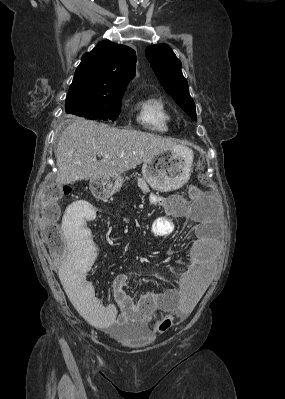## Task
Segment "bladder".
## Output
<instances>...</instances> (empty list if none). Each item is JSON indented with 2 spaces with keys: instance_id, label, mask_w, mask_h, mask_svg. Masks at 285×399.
I'll return each instance as SVG.
<instances>
[{
  "instance_id": "bladder-1",
  "label": "bladder",
  "mask_w": 285,
  "mask_h": 399,
  "mask_svg": "<svg viewBox=\"0 0 285 399\" xmlns=\"http://www.w3.org/2000/svg\"><path fill=\"white\" fill-rule=\"evenodd\" d=\"M117 339L132 348L141 349L147 346L148 335L143 332H137L128 338L117 336Z\"/></svg>"
}]
</instances>
